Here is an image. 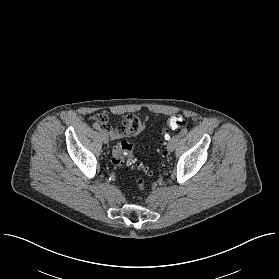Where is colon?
<instances>
[{"label":"colon","mask_w":279,"mask_h":279,"mask_svg":"<svg viewBox=\"0 0 279 279\" xmlns=\"http://www.w3.org/2000/svg\"><path fill=\"white\" fill-rule=\"evenodd\" d=\"M103 117V116H102ZM186 124L184 117L181 115L173 116L169 118L165 123V128L162 130V135L175 132L176 130L182 128ZM112 164L115 167H124L127 163L131 167H138L142 169L145 173L152 175L154 170L141 162H139L134 155V145L126 140H119L113 147L112 152ZM138 185L140 188L143 187V182L139 180Z\"/></svg>","instance_id":"5ec220e1"}]
</instances>
